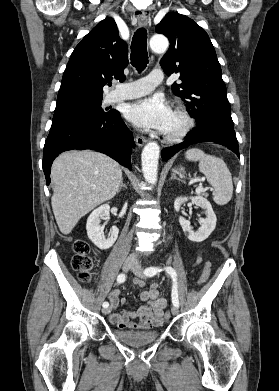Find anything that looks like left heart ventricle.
<instances>
[{"instance_id":"left-heart-ventricle-1","label":"left heart ventricle","mask_w":279,"mask_h":391,"mask_svg":"<svg viewBox=\"0 0 279 391\" xmlns=\"http://www.w3.org/2000/svg\"><path fill=\"white\" fill-rule=\"evenodd\" d=\"M182 120L175 114L171 113L165 132L172 133L180 129Z\"/></svg>"}]
</instances>
